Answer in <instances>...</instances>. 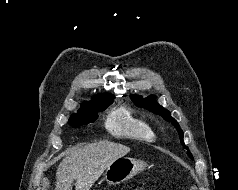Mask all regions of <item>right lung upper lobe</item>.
I'll use <instances>...</instances> for the list:
<instances>
[{
	"mask_svg": "<svg viewBox=\"0 0 238 190\" xmlns=\"http://www.w3.org/2000/svg\"><path fill=\"white\" fill-rule=\"evenodd\" d=\"M107 95H109V94H107ZM102 96H105V95H102ZM97 97H100V95L97 96ZM87 103H88V102L83 103L82 106H81V108L85 107V106L87 105Z\"/></svg>",
	"mask_w": 238,
	"mask_h": 190,
	"instance_id": "obj_1",
	"label": "right lung upper lobe"
}]
</instances>
